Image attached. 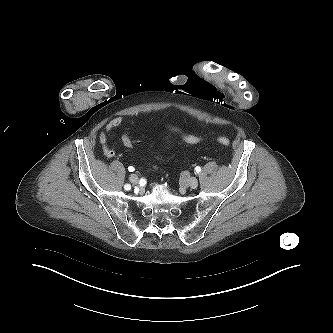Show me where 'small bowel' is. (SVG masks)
I'll use <instances>...</instances> for the list:
<instances>
[{
	"mask_svg": "<svg viewBox=\"0 0 333 333\" xmlns=\"http://www.w3.org/2000/svg\"><path fill=\"white\" fill-rule=\"evenodd\" d=\"M123 122V118L121 116L114 117L105 127L104 131L101 132L99 136L100 144L102 147V151L107 158H112L115 156V150L113 147L109 145V136L110 133L118 128Z\"/></svg>",
	"mask_w": 333,
	"mask_h": 333,
	"instance_id": "c3829d8e",
	"label": "small bowel"
}]
</instances>
